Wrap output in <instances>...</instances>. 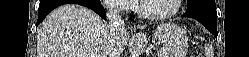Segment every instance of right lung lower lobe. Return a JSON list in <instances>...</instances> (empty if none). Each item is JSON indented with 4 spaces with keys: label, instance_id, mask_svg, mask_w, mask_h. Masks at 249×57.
Segmentation results:
<instances>
[{
    "label": "right lung lower lobe",
    "instance_id": "obj_1",
    "mask_svg": "<svg viewBox=\"0 0 249 57\" xmlns=\"http://www.w3.org/2000/svg\"><path fill=\"white\" fill-rule=\"evenodd\" d=\"M67 3H75L88 7L106 20V12L101 3H93L87 0H40L38 9V21L36 26H38L54 8Z\"/></svg>",
    "mask_w": 249,
    "mask_h": 57
}]
</instances>
